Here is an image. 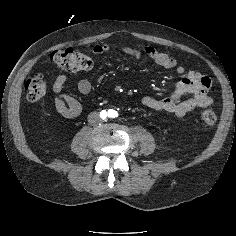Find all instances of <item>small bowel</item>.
Returning a JSON list of instances; mask_svg holds the SVG:
<instances>
[{"label": "small bowel", "instance_id": "small-bowel-1", "mask_svg": "<svg viewBox=\"0 0 236 236\" xmlns=\"http://www.w3.org/2000/svg\"><path fill=\"white\" fill-rule=\"evenodd\" d=\"M110 45L103 43L93 47L92 52L100 55L108 52ZM121 52L133 58L140 59L143 55L147 56L158 66L165 69H173L181 75V80L175 85L172 93L168 97L145 96L141 99V104L145 107L171 113L177 117H184L199 109L210 106L213 103L209 96L211 81L208 77L197 71H186L177 61L166 53L157 50L153 46H146L140 50L133 47H121ZM67 75L60 74L53 84L54 104L56 111L64 118H75L81 112V105L77 99L63 92L67 82ZM78 91L87 94L91 90V83L87 79H81L77 83ZM184 93H191V97L182 100Z\"/></svg>", "mask_w": 236, "mask_h": 236}]
</instances>
